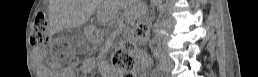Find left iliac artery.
I'll list each match as a JSON object with an SVG mask.
<instances>
[{
	"mask_svg": "<svg viewBox=\"0 0 258 77\" xmlns=\"http://www.w3.org/2000/svg\"><path fill=\"white\" fill-rule=\"evenodd\" d=\"M156 54V56H159V57H161L162 56V54H160V53H155Z\"/></svg>",
	"mask_w": 258,
	"mask_h": 77,
	"instance_id": "left-iliac-artery-1",
	"label": "left iliac artery"
}]
</instances>
